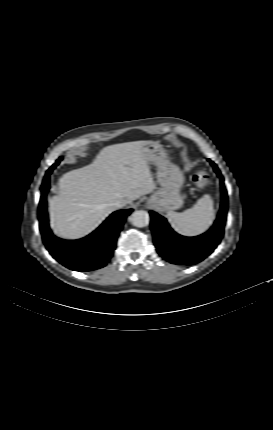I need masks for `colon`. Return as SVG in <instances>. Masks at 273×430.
Listing matches in <instances>:
<instances>
[{
	"label": "colon",
	"instance_id": "obj_1",
	"mask_svg": "<svg viewBox=\"0 0 273 430\" xmlns=\"http://www.w3.org/2000/svg\"><path fill=\"white\" fill-rule=\"evenodd\" d=\"M193 181L200 189H204L209 185L210 179L206 172L199 171L193 176Z\"/></svg>",
	"mask_w": 273,
	"mask_h": 430
}]
</instances>
